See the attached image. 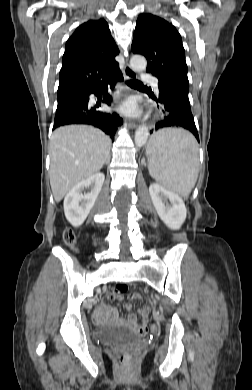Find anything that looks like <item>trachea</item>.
<instances>
[{
  "instance_id": "1",
  "label": "trachea",
  "mask_w": 252,
  "mask_h": 390,
  "mask_svg": "<svg viewBox=\"0 0 252 390\" xmlns=\"http://www.w3.org/2000/svg\"><path fill=\"white\" fill-rule=\"evenodd\" d=\"M127 84L131 87H135V86H143V84L135 79H132V80H129L127 81Z\"/></svg>"
}]
</instances>
